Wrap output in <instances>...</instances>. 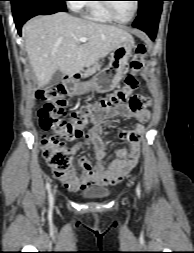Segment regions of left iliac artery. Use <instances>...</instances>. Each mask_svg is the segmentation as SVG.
<instances>
[{
	"mask_svg": "<svg viewBox=\"0 0 194 253\" xmlns=\"http://www.w3.org/2000/svg\"><path fill=\"white\" fill-rule=\"evenodd\" d=\"M136 192H137L138 197H140L141 190H140V186L139 185H137Z\"/></svg>",
	"mask_w": 194,
	"mask_h": 253,
	"instance_id": "obj_1",
	"label": "left iliac artery"
}]
</instances>
